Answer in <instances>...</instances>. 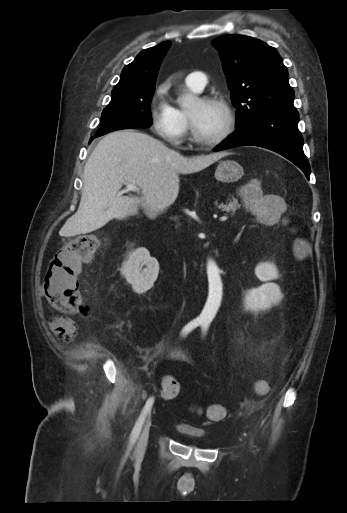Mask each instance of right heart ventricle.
<instances>
[{
	"mask_svg": "<svg viewBox=\"0 0 347 513\" xmlns=\"http://www.w3.org/2000/svg\"><path fill=\"white\" fill-rule=\"evenodd\" d=\"M177 109V108H176ZM183 116H186L182 110L177 109Z\"/></svg>",
	"mask_w": 347,
	"mask_h": 513,
	"instance_id": "1",
	"label": "right heart ventricle"
}]
</instances>
